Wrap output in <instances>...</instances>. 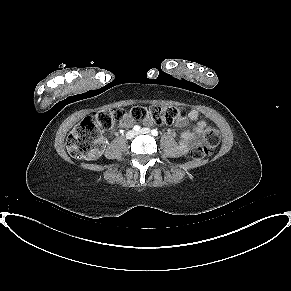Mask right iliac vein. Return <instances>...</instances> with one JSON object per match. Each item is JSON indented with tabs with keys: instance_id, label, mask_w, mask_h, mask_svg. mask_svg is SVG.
<instances>
[{
	"instance_id": "obj_1",
	"label": "right iliac vein",
	"mask_w": 291,
	"mask_h": 291,
	"mask_svg": "<svg viewBox=\"0 0 291 291\" xmlns=\"http://www.w3.org/2000/svg\"><path fill=\"white\" fill-rule=\"evenodd\" d=\"M135 135H136V132L133 131V130H131V131H128V132L126 133V138H127V139H132V138L135 137Z\"/></svg>"
}]
</instances>
